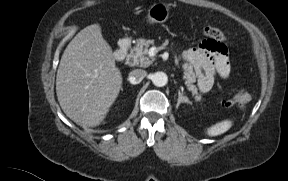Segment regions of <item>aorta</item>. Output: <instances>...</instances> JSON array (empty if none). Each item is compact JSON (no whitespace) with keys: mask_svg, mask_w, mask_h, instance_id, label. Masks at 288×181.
Masks as SVG:
<instances>
[{"mask_svg":"<svg viewBox=\"0 0 288 181\" xmlns=\"http://www.w3.org/2000/svg\"><path fill=\"white\" fill-rule=\"evenodd\" d=\"M151 80L157 87H163L167 84V75L163 72H156L152 75Z\"/></svg>","mask_w":288,"mask_h":181,"instance_id":"1","label":"aorta"}]
</instances>
